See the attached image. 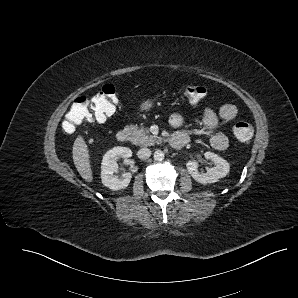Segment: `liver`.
I'll use <instances>...</instances> for the list:
<instances>
[{"label": "liver", "mask_w": 298, "mask_h": 298, "mask_svg": "<svg viewBox=\"0 0 298 298\" xmlns=\"http://www.w3.org/2000/svg\"><path fill=\"white\" fill-rule=\"evenodd\" d=\"M72 157L80 176L87 182H92L93 175L89 160V151L83 137L79 135L73 144Z\"/></svg>", "instance_id": "6515ba94"}]
</instances>
